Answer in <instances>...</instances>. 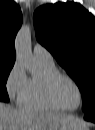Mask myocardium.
I'll use <instances>...</instances> for the list:
<instances>
[{
    "label": "myocardium",
    "mask_w": 95,
    "mask_h": 130,
    "mask_svg": "<svg viewBox=\"0 0 95 130\" xmlns=\"http://www.w3.org/2000/svg\"><path fill=\"white\" fill-rule=\"evenodd\" d=\"M61 79H66L70 82H72L74 84V86L77 88L78 93H79V104L76 108L74 109H69L64 107L57 99L56 95H55V86L57 84V82ZM45 92L46 95L48 97V99L50 100V102L52 104H54L56 107H58L60 110L66 111V112H75L77 110L80 109V107L83 104L84 101V94H83V90L81 88V86L79 85V83L72 78L71 76L64 74V73H60L57 72L55 74L49 75L48 77H46L45 79Z\"/></svg>",
    "instance_id": "myocardium-1"
}]
</instances>
